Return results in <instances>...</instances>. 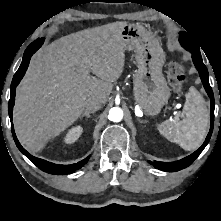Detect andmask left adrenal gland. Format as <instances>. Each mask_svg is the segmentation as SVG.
<instances>
[{"label": "left adrenal gland", "instance_id": "obj_1", "mask_svg": "<svg viewBox=\"0 0 221 221\" xmlns=\"http://www.w3.org/2000/svg\"><path fill=\"white\" fill-rule=\"evenodd\" d=\"M142 123H146L147 121H141Z\"/></svg>", "mask_w": 221, "mask_h": 221}]
</instances>
